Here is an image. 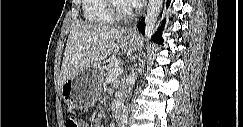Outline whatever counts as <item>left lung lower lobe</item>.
<instances>
[{
  "instance_id": "1",
  "label": "left lung lower lobe",
  "mask_w": 243,
  "mask_h": 127,
  "mask_svg": "<svg viewBox=\"0 0 243 127\" xmlns=\"http://www.w3.org/2000/svg\"><path fill=\"white\" fill-rule=\"evenodd\" d=\"M169 3H170V0H167V5H169ZM143 20H144V18L137 25L138 30L142 34L145 33V24H144ZM163 27H164V22H163L162 26L160 27V29L152 36V39L155 42H158V43H162L163 42V39H162V30H163Z\"/></svg>"
}]
</instances>
